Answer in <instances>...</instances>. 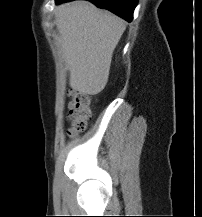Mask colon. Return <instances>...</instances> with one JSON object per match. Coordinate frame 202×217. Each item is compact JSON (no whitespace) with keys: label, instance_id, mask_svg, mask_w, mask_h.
Returning a JSON list of instances; mask_svg holds the SVG:
<instances>
[{"label":"colon","instance_id":"1","mask_svg":"<svg viewBox=\"0 0 202 217\" xmlns=\"http://www.w3.org/2000/svg\"><path fill=\"white\" fill-rule=\"evenodd\" d=\"M68 118L70 136H76L85 130L88 121L92 117V98L89 94L74 91L70 93Z\"/></svg>","mask_w":202,"mask_h":217}]
</instances>
